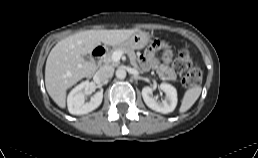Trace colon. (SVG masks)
Instances as JSON below:
<instances>
[{
  "mask_svg": "<svg viewBox=\"0 0 258 158\" xmlns=\"http://www.w3.org/2000/svg\"><path fill=\"white\" fill-rule=\"evenodd\" d=\"M175 68L182 72L181 83L184 87L197 86L202 77L200 66L191 57L189 50H181L175 59Z\"/></svg>",
  "mask_w": 258,
  "mask_h": 158,
  "instance_id": "colon-1",
  "label": "colon"
}]
</instances>
